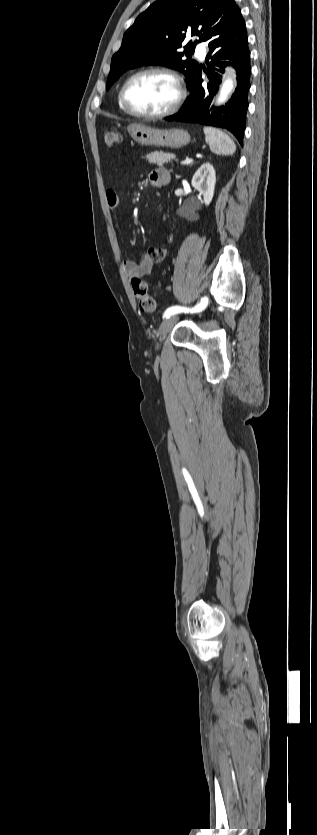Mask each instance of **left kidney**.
<instances>
[{
    "instance_id": "left-kidney-1",
    "label": "left kidney",
    "mask_w": 317,
    "mask_h": 835,
    "mask_svg": "<svg viewBox=\"0 0 317 835\" xmlns=\"http://www.w3.org/2000/svg\"><path fill=\"white\" fill-rule=\"evenodd\" d=\"M192 187L203 195V203L209 205L214 196L216 173L212 164L203 163L192 178Z\"/></svg>"
}]
</instances>
